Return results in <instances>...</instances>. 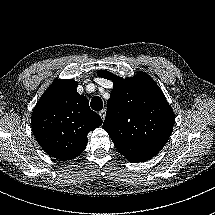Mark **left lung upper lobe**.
Masks as SVG:
<instances>
[{"label": "left lung upper lobe", "instance_id": "obj_1", "mask_svg": "<svg viewBox=\"0 0 215 215\" xmlns=\"http://www.w3.org/2000/svg\"><path fill=\"white\" fill-rule=\"evenodd\" d=\"M97 75L114 84L103 128L117 150L130 162L154 157L164 147L175 122L159 86L145 72L125 79L105 70Z\"/></svg>", "mask_w": 215, "mask_h": 215}]
</instances>
